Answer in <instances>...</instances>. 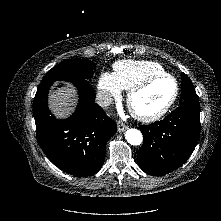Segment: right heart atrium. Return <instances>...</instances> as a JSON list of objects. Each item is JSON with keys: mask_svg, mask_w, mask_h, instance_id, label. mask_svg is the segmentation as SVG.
Listing matches in <instances>:
<instances>
[{"mask_svg": "<svg viewBox=\"0 0 221 221\" xmlns=\"http://www.w3.org/2000/svg\"><path fill=\"white\" fill-rule=\"evenodd\" d=\"M98 89L108 98H118L121 94V89L118 86L113 74L103 72L98 79Z\"/></svg>", "mask_w": 221, "mask_h": 221, "instance_id": "obj_1", "label": "right heart atrium"}]
</instances>
